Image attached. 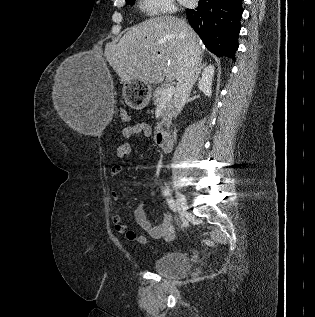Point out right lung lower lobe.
<instances>
[{
	"instance_id": "98d812e1",
	"label": "right lung lower lobe",
	"mask_w": 315,
	"mask_h": 317,
	"mask_svg": "<svg viewBox=\"0 0 315 317\" xmlns=\"http://www.w3.org/2000/svg\"><path fill=\"white\" fill-rule=\"evenodd\" d=\"M242 11V0H199L198 7L186 14L208 50L234 59Z\"/></svg>"
}]
</instances>
